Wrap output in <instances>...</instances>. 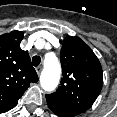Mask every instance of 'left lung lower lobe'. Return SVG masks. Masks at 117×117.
Segmentation results:
<instances>
[{"instance_id": "left-lung-lower-lobe-1", "label": "left lung lower lobe", "mask_w": 117, "mask_h": 117, "mask_svg": "<svg viewBox=\"0 0 117 117\" xmlns=\"http://www.w3.org/2000/svg\"><path fill=\"white\" fill-rule=\"evenodd\" d=\"M49 108L59 117H74L80 114V112L70 105L61 101H56L46 97Z\"/></svg>"}]
</instances>
